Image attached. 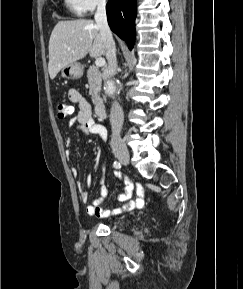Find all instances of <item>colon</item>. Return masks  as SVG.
Masks as SVG:
<instances>
[{
    "label": "colon",
    "instance_id": "1",
    "mask_svg": "<svg viewBox=\"0 0 243 289\" xmlns=\"http://www.w3.org/2000/svg\"><path fill=\"white\" fill-rule=\"evenodd\" d=\"M73 112L71 106L67 105L66 103H59L57 105V115L59 118H66Z\"/></svg>",
    "mask_w": 243,
    "mask_h": 289
}]
</instances>
